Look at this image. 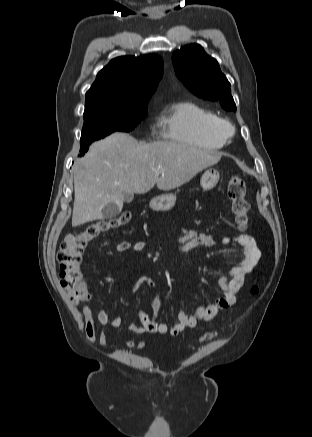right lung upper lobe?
Wrapping results in <instances>:
<instances>
[{
    "label": "right lung upper lobe",
    "instance_id": "right-lung-upper-lobe-1",
    "mask_svg": "<svg viewBox=\"0 0 312 437\" xmlns=\"http://www.w3.org/2000/svg\"><path fill=\"white\" fill-rule=\"evenodd\" d=\"M162 75L163 60L155 54L115 58L87 91L85 110L145 108Z\"/></svg>",
    "mask_w": 312,
    "mask_h": 437
}]
</instances>
